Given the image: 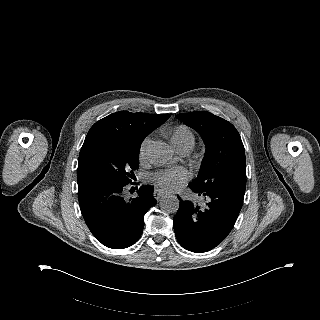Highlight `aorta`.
Returning <instances> with one entry per match:
<instances>
[{"mask_svg":"<svg viewBox=\"0 0 320 320\" xmlns=\"http://www.w3.org/2000/svg\"><path fill=\"white\" fill-rule=\"evenodd\" d=\"M147 156L153 164L164 166L171 158V149L166 143L158 141L149 146ZM160 207L167 213H175L179 208V199L172 194L165 195L160 199Z\"/></svg>","mask_w":320,"mask_h":320,"instance_id":"obj_1","label":"aorta"}]
</instances>
